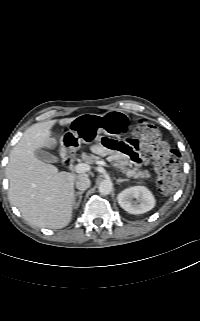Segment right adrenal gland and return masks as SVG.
Instances as JSON below:
<instances>
[{
  "label": "right adrenal gland",
  "instance_id": "obj_1",
  "mask_svg": "<svg viewBox=\"0 0 200 321\" xmlns=\"http://www.w3.org/2000/svg\"><path fill=\"white\" fill-rule=\"evenodd\" d=\"M84 193V191H78L75 193L74 195V208H78L79 205H80V202L82 200V194ZM77 196H79L78 200L77 199Z\"/></svg>",
  "mask_w": 200,
  "mask_h": 321
}]
</instances>
